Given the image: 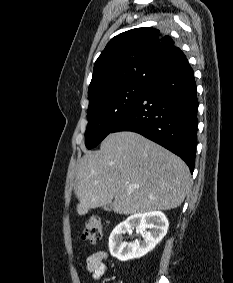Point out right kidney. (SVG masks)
<instances>
[{
	"mask_svg": "<svg viewBox=\"0 0 233 283\" xmlns=\"http://www.w3.org/2000/svg\"><path fill=\"white\" fill-rule=\"evenodd\" d=\"M169 222L160 211L137 213L118 224L109 237V250L120 261L141 258L150 252L163 239ZM136 228L142 235V241L128 243L123 241V234ZM147 229H151L147 231Z\"/></svg>",
	"mask_w": 233,
	"mask_h": 283,
	"instance_id": "right-kidney-1",
	"label": "right kidney"
}]
</instances>
